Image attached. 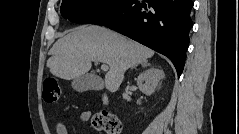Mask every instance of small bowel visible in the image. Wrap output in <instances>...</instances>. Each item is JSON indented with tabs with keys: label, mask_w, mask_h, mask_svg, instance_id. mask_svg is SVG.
Segmentation results:
<instances>
[{
	"label": "small bowel",
	"mask_w": 239,
	"mask_h": 134,
	"mask_svg": "<svg viewBox=\"0 0 239 134\" xmlns=\"http://www.w3.org/2000/svg\"><path fill=\"white\" fill-rule=\"evenodd\" d=\"M91 116L92 112L90 110H84L83 112H81L80 124L84 125L85 123H87L91 119ZM55 130L56 134H69L67 126L61 121H58L56 123Z\"/></svg>",
	"instance_id": "small-bowel-1"
}]
</instances>
